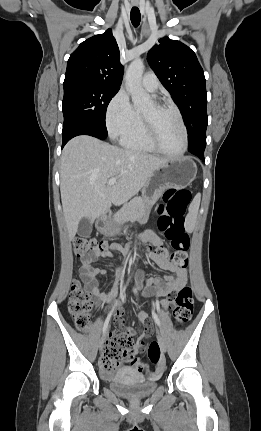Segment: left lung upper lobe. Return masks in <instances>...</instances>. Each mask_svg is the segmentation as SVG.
Instances as JSON below:
<instances>
[{
  "label": "left lung upper lobe",
  "mask_w": 261,
  "mask_h": 431,
  "mask_svg": "<svg viewBox=\"0 0 261 431\" xmlns=\"http://www.w3.org/2000/svg\"><path fill=\"white\" fill-rule=\"evenodd\" d=\"M147 60L181 111L189 134L188 150H205L207 93L195 53L179 41L162 38L148 52Z\"/></svg>",
  "instance_id": "obj_1"
}]
</instances>
